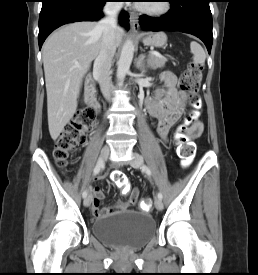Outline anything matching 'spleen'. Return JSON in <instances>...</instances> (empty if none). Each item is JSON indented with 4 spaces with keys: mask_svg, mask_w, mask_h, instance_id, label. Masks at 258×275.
Instances as JSON below:
<instances>
[{
    "mask_svg": "<svg viewBox=\"0 0 258 275\" xmlns=\"http://www.w3.org/2000/svg\"><path fill=\"white\" fill-rule=\"evenodd\" d=\"M190 49H191V53L193 54L194 64H196V65L204 64L205 59H206V54H205V51L202 48V46L199 43L192 41L190 43Z\"/></svg>",
    "mask_w": 258,
    "mask_h": 275,
    "instance_id": "1",
    "label": "spleen"
}]
</instances>
